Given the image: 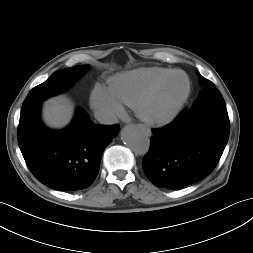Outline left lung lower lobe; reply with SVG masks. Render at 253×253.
Here are the masks:
<instances>
[{
  "mask_svg": "<svg viewBox=\"0 0 253 253\" xmlns=\"http://www.w3.org/2000/svg\"><path fill=\"white\" fill-rule=\"evenodd\" d=\"M226 107L194 114L184 110L169 125L153 130L151 147L142 161L147 178L168 189L186 187L216 167L229 137Z\"/></svg>",
  "mask_w": 253,
  "mask_h": 253,
  "instance_id": "left-lung-lower-lobe-1",
  "label": "left lung lower lobe"
}]
</instances>
